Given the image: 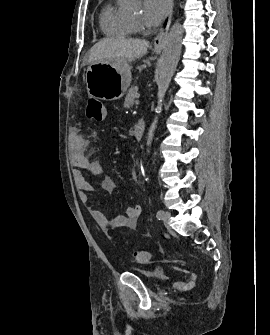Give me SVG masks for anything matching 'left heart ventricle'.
<instances>
[{"label":"left heart ventricle","mask_w":270,"mask_h":335,"mask_svg":"<svg viewBox=\"0 0 270 335\" xmlns=\"http://www.w3.org/2000/svg\"><path fill=\"white\" fill-rule=\"evenodd\" d=\"M140 18L133 19L134 22H138Z\"/></svg>","instance_id":"left-heart-ventricle-1"}]
</instances>
